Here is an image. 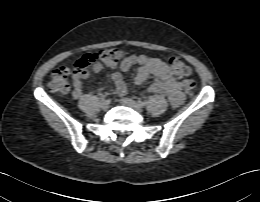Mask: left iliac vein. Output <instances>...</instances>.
<instances>
[{
  "mask_svg": "<svg viewBox=\"0 0 260 202\" xmlns=\"http://www.w3.org/2000/svg\"><path fill=\"white\" fill-rule=\"evenodd\" d=\"M121 103L126 106H129L137 111H142V107L139 106L137 102H135L134 100H132L130 98H122Z\"/></svg>",
  "mask_w": 260,
  "mask_h": 202,
  "instance_id": "left-iliac-vein-1",
  "label": "left iliac vein"
}]
</instances>
